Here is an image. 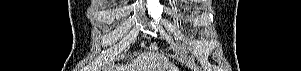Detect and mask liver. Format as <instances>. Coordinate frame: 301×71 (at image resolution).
<instances>
[{
  "label": "liver",
  "instance_id": "obj_1",
  "mask_svg": "<svg viewBox=\"0 0 301 71\" xmlns=\"http://www.w3.org/2000/svg\"><path fill=\"white\" fill-rule=\"evenodd\" d=\"M152 58L153 61H151ZM161 66H163V68L165 69H170L168 71H178L173 64H170L163 59L158 58L156 59L155 63V58L151 57L150 54H142L140 58H138L136 61H134L132 64H129L128 66L112 67L109 68L111 70L106 71H152L146 69H156L155 67H158V69H160Z\"/></svg>",
  "mask_w": 301,
  "mask_h": 71
}]
</instances>
